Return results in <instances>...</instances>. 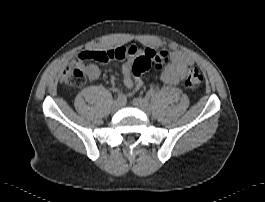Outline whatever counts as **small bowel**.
Returning <instances> with one entry per match:
<instances>
[{"instance_id": "small-bowel-1", "label": "small bowel", "mask_w": 265, "mask_h": 202, "mask_svg": "<svg viewBox=\"0 0 265 202\" xmlns=\"http://www.w3.org/2000/svg\"><path fill=\"white\" fill-rule=\"evenodd\" d=\"M122 50L125 54L127 61L122 65L123 81L125 86L131 91H139L143 87V81L134 77L131 71V65L134 57L137 54V49L131 45L117 48ZM107 50H100L97 52H106ZM170 62L165 67L161 74V80L167 85H176L183 81L186 76V72L190 66H194V61L191 55L186 52L175 50L169 54ZM74 62L82 64L86 77L93 81L100 77V71L97 65L92 63L82 62L80 53L75 56ZM112 91H116L115 85L111 87Z\"/></svg>"}]
</instances>
